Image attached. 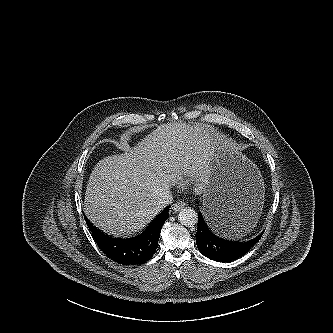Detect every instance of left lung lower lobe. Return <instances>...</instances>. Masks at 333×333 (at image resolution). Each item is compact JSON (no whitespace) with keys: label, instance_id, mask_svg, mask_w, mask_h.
Instances as JSON below:
<instances>
[{"label":"left lung lower lobe","instance_id":"0a47b994","mask_svg":"<svg viewBox=\"0 0 333 333\" xmlns=\"http://www.w3.org/2000/svg\"><path fill=\"white\" fill-rule=\"evenodd\" d=\"M263 232L247 242H237L216 236L207 226L201 213L198 214V228L195 234L199 251L209 259L230 262L245 255L261 238Z\"/></svg>","mask_w":333,"mask_h":333}]
</instances>
